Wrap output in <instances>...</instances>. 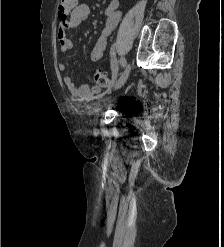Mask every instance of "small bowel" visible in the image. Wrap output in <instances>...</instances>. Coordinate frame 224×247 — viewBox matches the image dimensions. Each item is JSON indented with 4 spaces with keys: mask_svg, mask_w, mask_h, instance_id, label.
I'll list each match as a JSON object with an SVG mask.
<instances>
[{
    "mask_svg": "<svg viewBox=\"0 0 224 247\" xmlns=\"http://www.w3.org/2000/svg\"><path fill=\"white\" fill-rule=\"evenodd\" d=\"M119 6V0H111L105 8L106 22L91 49L90 58L92 61H98L104 55L109 36L118 25L122 16ZM90 12V7L88 5L80 4L75 8L69 18L59 25L57 40L60 50L63 53L70 51L73 47L72 41L66 34L67 31L78 28L83 21L89 18ZM59 70L65 72L67 70L66 64H60ZM63 81L71 96L78 100H90L101 91L99 85L93 86L92 88L83 85L80 88H77L73 79L69 76H65Z\"/></svg>",
    "mask_w": 224,
    "mask_h": 247,
    "instance_id": "c3829d8e",
    "label": "small bowel"
}]
</instances>
